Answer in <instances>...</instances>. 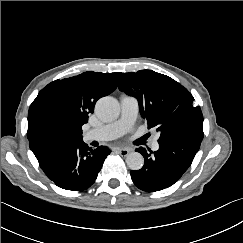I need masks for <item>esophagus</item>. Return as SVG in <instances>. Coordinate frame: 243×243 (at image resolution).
<instances>
[{
	"label": "esophagus",
	"instance_id": "34e87169",
	"mask_svg": "<svg viewBox=\"0 0 243 243\" xmlns=\"http://www.w3.org/2000/svg\"><path fill=\"white\" fill-rule=\"evenodd\" d=\"M119 154H121L122 156H127L130 153V150L127 148H117L116 149Z\"/></svg>",
	"mask_w": 243,
	"mask_h": 243
}]
</instances>
